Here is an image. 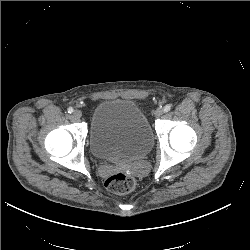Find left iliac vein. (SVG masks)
Returning a JSON list of instances; mask_svg holds the SVG:
<instances>
[{"mask_svg": "<svg viewBox=\"0 0 250 250\" xmlns=\"http://www.w3.org/2000/svg\"><path fill=\"white\" fill-rule=\"evenodd\" d=\"M163 112H164L163 109L158 108L155 110L154 115L155 117L159 118L160 116H162Z\"/></svg>", "mask_w": 250, "mask_h": 250, "instance_id": "1", "label": "left iliac vein"}]
</instances>
